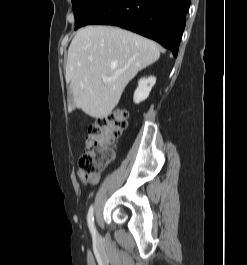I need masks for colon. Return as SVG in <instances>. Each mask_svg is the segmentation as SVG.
Returning a JSON list of instances; mask_svg holds the SVG:
<instances>
[{"label":"colon","mask_w":247,"mask_h":265,"mask_svg":"<svg viewBox=\"0 0 247 265\" xmlns=\"http://www.w3.org/2000/svg\"><path fill=\"white\" fill-rule=\"evenodd\" d=\"M127 112L116 109L93 123L86 136L80 167L88 175H98L113 159V146L127 126Z\"/></svg>","instance_id":"5ec220e1"}]
</instances>
